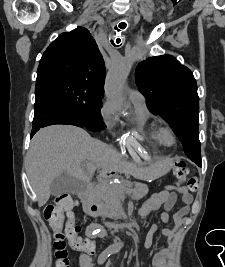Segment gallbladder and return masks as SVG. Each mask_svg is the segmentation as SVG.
Instances as JSON below:
<instances>
[{
	"mask_svg": "<svg viewBox=\"0 0 225 267\" xmlns=\"http://www.w3.org/2000/svg\"><path fill=\"white\" fill-rule=\"evenodd\" d=\"M83 185L72 176L63 173L52 181L50 190L53 196H59L64 193H76L82 189Z\"/></svg>",
	"mask_w": 225,
	"mask_h": 267,
	"instance_id": "obj_1",
	"label": "gallbladder"
}]
</instances>
